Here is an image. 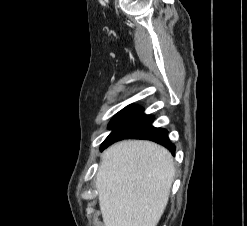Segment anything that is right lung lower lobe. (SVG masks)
<instances>
[{"mask_svg": "<svg viewBox=\"0 0 247 226\" xmlns=\"http://www.w3.org/2000/svg\"><path fill=\"white\" fill-rule=\"evenodd\" d=\"M154 116L143 113L138 105H129L118 112L110 121L112 132L101 145V151L122 139H147L165 146L174 154L175 146L169 141L166 129L152 126Z\"/></svg>", "mask_w": 247, "mask_h": 226, "instance_id": "98d812e1", "label": "right lung lower lobe"}]
</instances>
